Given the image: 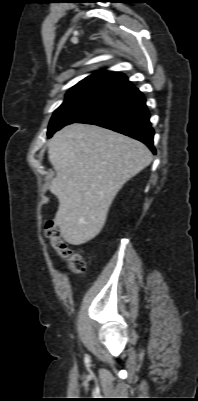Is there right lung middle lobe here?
<instances>
[{
  "label": "right lung middle lobe",
  "instance_id": "1",
  "mask_svg": "<svg viewBox=\"0 0 198 401\" xmlns=\"http://www.w3.org/2000/svg\"><path fill=\"white\" fill-rule=\"evenodd\" d=\"M109 90L88 89L66 94L62 105L50 120L47 136L51 137L63 126L75 123L95 110L105 99Z\"/></svg>",
  "mask_w": 198,
  "mask_h": 401
}]
</instances>
